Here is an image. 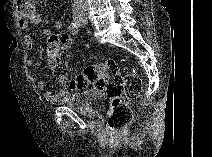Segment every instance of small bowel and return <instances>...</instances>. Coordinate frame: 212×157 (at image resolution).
Returning <instances> with one entry per match:
<instances>
[{"label":"small bowel","mask_w":212,"mask_h":157,"mask_svg":"<svg viewBox=\"0 0 212 157\" xmlns=\"http://www.w3.org/2000/svg\"><path fill=\"white\" fill-rule=\"evenodd\" d=\"M41 22V16L36 10L35 4L32 1H23L17 4V23L20 29L26 30L30 25H38ZM63 21L58 19L55 22V29L61 30L63 28ZM52 33L51 29L45 28L43 30V35L45 37L50 36ZM26 47L31 51L34 47V39L30 34L25 35ZM28 65L34 64V59L29 58L27 60ZM36 88L44 91V98L51 104L62 103L68 98V92L61 90L57 94L52 93L49 90H46V82L44 80H39L36 83Z\"/></svg>","instance_id":"small-bowel-1"}]
</instances>
